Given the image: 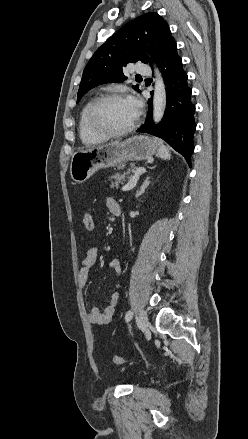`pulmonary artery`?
Listing matches in <instances>:
<instances>
[{
  "label": "pulmonary artery",
  "instance_id": "pulmonary-artery-1",
  "mask_svg": "<svg viewBox=\"0 0 248 439\" xmlns=\"http://www.w3.org/2000/svg\"><path fill=\"white\" fill-rule=\"evenodd\" d=\"M135 73H137L139 76H147L151 74V71L146 64L137 62L135 64Z\"/></svg>",
  "mask_w": 248,
  "mask_h": 439
}]
</instances>
